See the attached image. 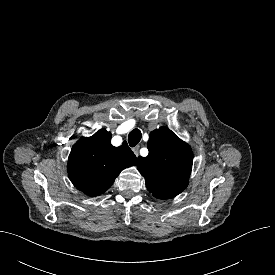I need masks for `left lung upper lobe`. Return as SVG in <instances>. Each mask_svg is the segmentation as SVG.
Segmentation results:
<instances>
[{
    "mask_svg": "<svg viewBox=\"0 0 275 275\" xmlns=\"http://www.w3.org/2000/svg\"><path fill=\"white\" fill-rule=\"evenodd\" d=\"M148 150V156H139L137 163L148 191L158 199L180 194L188 186L192 170L191 147L162 126L150 133Z\"/></svg>",
    "mask_w": 275,
    "mask_h": 275,
    "instance_id": "left-lung-upper-lobe-1",
    "label": "left lung upper lobe"
}]
</instances>
